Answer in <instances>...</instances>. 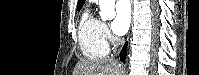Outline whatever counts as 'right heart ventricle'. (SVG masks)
<instances>
[{
	"mask_svg": "<svg viewBox=\"0 0 199 75\" xmlns=\"http://www.w3.org/2000/svg\"><path fill=\"white\" fill-rule=\"evenodd\" d=\"M82 54L88 59H101L108 55L109 47L102 34V22L88 12L84 14L78 29Z\"/></svg>",
	"mask_w": 199,
	"mask_h": 75,
	"instance_id": "e07e8e85",
	"label": "right heart ventricle"
}]
</instances>
